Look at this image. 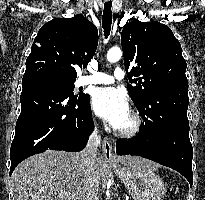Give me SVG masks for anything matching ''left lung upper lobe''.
Segmentation results:
<instances>
[{
  "label": "left lung upper lobe",
  "instance_id": "1",
  "mask_svg": "<svg viewBox=\"0 0 205 200\" xmlns=\"http://www.w3.org/2000/svg\"><path fill=\"white\" fill-rule=\"evenodd\" d=\"M121 45L126 70L136 64L128 74L130 83L135 85H127V90L147 125L152 119L148 115L151 113L149 99L155 89L188 87L187 64L181 45L171 29L157 21L126 24L121 33Z\"/></svg>",
  "mask_w": 205,
  "mask_h": 200
}]
</instances>
